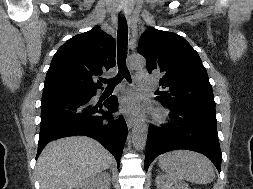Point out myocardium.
Instances as JSON below:
<instances>
[{"label":"myocardium","mask_w":253,"mask_h":189,"mask_svg":"<svg viewBox=\"0 0 253 189\" xmlns=\"http://www.w3.org/2000/svg\"><path fill=\"white\" fill-rule=\"evenodd\" d=\"M166 115L164 113H159L157 115V120L162 121Z\"/></svg>","instance_id":"f54148a6"}]
</instances>
